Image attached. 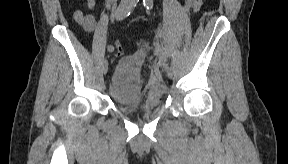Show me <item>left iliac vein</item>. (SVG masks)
Returning <instances> with one entry per match:
<instances>
[{
    "mask_svg": "<svg viewBox=\"0 0 288 164\" xmlns=\"http://www.w3.org/2000/svg\"><path fill=\"white\" fill-rule=\"evenodd\" d=\"M162 67H163V68H166V62H165V59H164V58L162 59Z\"/></svg>",
    "mask_w": 288,
    "mask_h": 164,
    "instance_id": "left-iliac-vein-1",
    "label": "left iliac vein"
}]
</instances>
